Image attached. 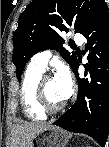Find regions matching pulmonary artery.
<instances>
[{
	"label": "pulmonary artery",
	"mask_w": 109,
	"mask_h": 147,
	"mask_svg": "<svg viewBox=\"0 0 109 147\" xmlns=\"http://www.w3.org/2000/svg\"><path fill=\"white\" fill-rule=\"evenodd\" d=\"M75 41L77 44L82 45L84 42V37L82 34H76L75 35ZM52 56V51L51 50H45L36 53L30 60L29 66L40 70L44 71L47 67L48 61Z\"/></svg>",
	"instance_id": "1"
}]
</instances>
